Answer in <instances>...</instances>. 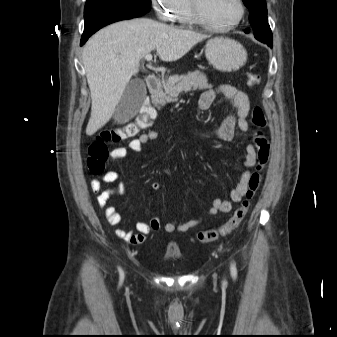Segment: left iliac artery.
<instances>
[{"label":"left iliac artery","mask_w":337,"mask_h":337,"mask_svg":"<svg viewBox=\"0 0 337 337\" xmlns=\"http://www.w3.org/2000/svg\"><path fill=\"white\" fill-rule=\"evenodd\" d=\"M231 275L234 279L237 277V269L235 263H231Z\"/></svg>","instance_id":"obj_1"}]
</instances>
